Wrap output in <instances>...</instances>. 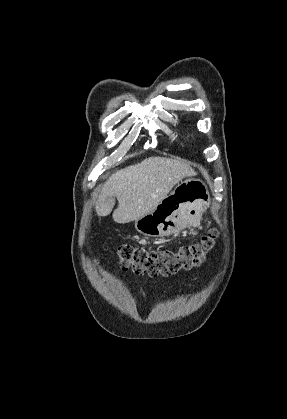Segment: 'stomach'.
<instances>
[{
    "instance_id": "0dacf381",
    "label": "stomach",
    "mask_w": 287,
    "mask_h": 419,
    "mask_svg": "<svg viewBox=\"0 0 287 419\" xmlns=\"http://www.w3.org/2000/svg\"><path fill=\"white\" fill-rule=\"evenodd\" d=\"M209 203L210 195L204 182L197 178L186 179L151 212L135 220V228L145 236L168 237L200 219Z\"/></svg>"
}]
</instances>
